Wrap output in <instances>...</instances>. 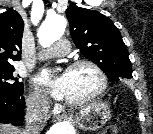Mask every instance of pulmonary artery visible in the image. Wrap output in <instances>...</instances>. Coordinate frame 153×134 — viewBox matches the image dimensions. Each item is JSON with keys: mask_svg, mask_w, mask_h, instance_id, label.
Wrapping results in <instances>:
<instances>
[{"mask_svg": "<svg viewBox=\"0 0 153 134\" xmlns=\"http://www.w3.org/2000/svg\"><path fill=\"white\" fill-rule=\"evenodd\" d=\"M70 45L66 39H60L57 43L46 50L39 53V59H47L50 57H61L69 52Z\"/></svg>", "mask_w": 153, "mask_h": 134, "instance_id": "1", "label": "pulmonary artery"}]
</instances>
